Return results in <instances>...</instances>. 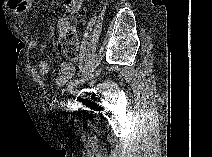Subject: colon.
Returning a JSON list of instances; mask_svg holds the SVG:
<instances>
[{
  "label": "colon",
  "instance_id": "colon-1",
  "mask_svg": "<svg viewBox=\"0 0 212 157\" xmlns=\"http://www.w3.org/2000/svg\"><path fill=\"white\" fill-rule=\"evenodd\" d=\"M80 16L73 14L71 16L72 25L61 32L57 41V49L60 55L69 60L77 59L79 55L78 37L75 25L79 22Z\"/></svg>",
  "mask_w": 212,
  "mask_h": 157
}]
</instances>
